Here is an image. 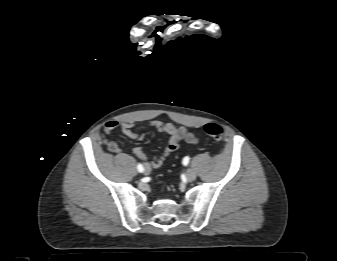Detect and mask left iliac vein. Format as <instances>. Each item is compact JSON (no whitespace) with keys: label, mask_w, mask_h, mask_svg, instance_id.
Segmentation results:
<instances>
[{"label":"left iliac vein","mask_w":337,"mask_h":261,"mask_svg":"<svg viewBox=\"0 0 337 261\" xmlns=\"http://www.w3.org/2000/svg\"><path fill=\"white\" fill-rule=\"evenodd\" d=\"M186 177L189 181H194L196 179V172L190 168L186 172Z\"/></svg>","instance_id":"obj_1"}]
</instances>
